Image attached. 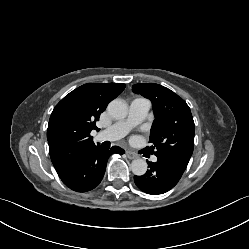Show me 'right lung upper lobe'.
I'll return each mask as SVG.
<instances>
[{"label":"right lung upper lobe","mask_w":249,"mask_h":249,"mask_svg":"<svg viewBox=\"0 0 249 249\" xmlns=\"http://www.w3.org/2000/svg\"><path fill=\"white\" fill-rule=\"evenodd\" d=\"M125 88L122 83H88L66 95L54 108L47 129L51 161L57 174L69 168L94 144L90 132L108 103Z\"/></svg>","instance_id":"1"}]
</instances>
